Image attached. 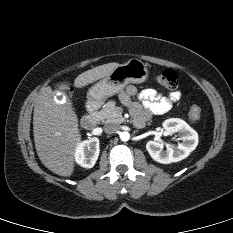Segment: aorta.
<instances>
[{
  "label": "aorta",
  "instance_id": "aorta-1",
  "mask_svg": "<svg viewBox=\"0 0 233 233\" xmlns=\"http://www.w3.org/2000/svg\"><path fill=\"white\" fill-rule=\"evenodd\" d=\"M120 139L124 142L128 141L130 139V134L126 131H123L120 133Z\"/></svg>",
  "mask_w": 233,
  "mask_h": 233
}]
</instances>
